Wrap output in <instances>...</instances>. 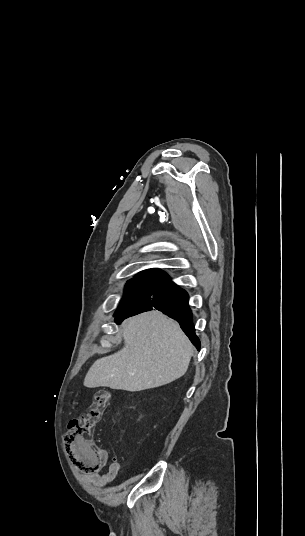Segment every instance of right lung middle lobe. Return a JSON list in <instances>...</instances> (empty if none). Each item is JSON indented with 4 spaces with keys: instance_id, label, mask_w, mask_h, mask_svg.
Segmentation results:
<instances>
[{
    "instance_id": "right-lung-middle-lobe-1",
    "label": "right lung middle lobe",
    "mask_w": 305,
    "mask_h": 536,
    "mask_svg": "<svg viewBox=\"0 0 305 536\" xmlns=\"http://www.w3.org/2000/svg\"><path fill=\"white\" fill-rule=\"evenodd\" d=\"M162 278H134L125 285L124 296L115 313L122 312L138 299L149 293L154 287L160 284Z\"/></svg>"
}]
</instances>
